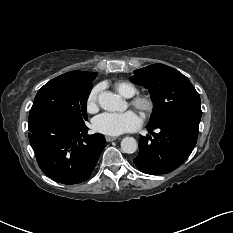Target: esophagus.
Returning a JSON list of instances; mask_svg holds the SVG:
<instances>
[{
  "instance_id": "obj_1",
  "label": "esophagus",
  "mask_w": 233,
  "mask_h": 233,
  "mask_svg": "<svg viewBox=\"0 0 233 233\" xmlns=\"http://www.w3.org/2000/svg\"><path fill=\"white\" fill-rule=\"evenodd\" d=\"M106 141L108 142H112V141H115L117 139V137H112V136H106Z\"/></svg>"
}]
</instances>
